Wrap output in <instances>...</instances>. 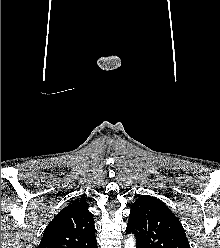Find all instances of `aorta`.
<instances>
[{
	"label": "aorta",
	"mask_w": 220,
	"mask_h": 248,
	"mask_svg": "<svg viewBox=\"0 0 220 248\" xmlns=\"http://www.w3.org/2000/svg\"><path fill=\"white\" fill-rule=\"evenodd\" d=\"M136 241L133 235H128V238L125 241L124 248H135Z\"/></svg>",
	"instance_id": "762f6f07"
}]
</instances>
